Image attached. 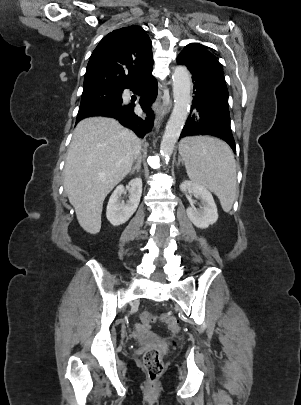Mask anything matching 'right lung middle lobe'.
Listing matches in <instances>:
<instances>
[{
  "mask_svg": "<svg viewBox=\"0 0 301 405\" xmlns=\"http://www.w3.org/2000/svg\"><path fill=\"white\" fill-rule=\"evenodd\" d=\"M122 102V91L112 88H92L83 90L79 112Z\"/></svg>",
  "mask_w": 301,
  "mask_h": 405,
  "instance_id": "obj_1",
  "label": "right lung middle lobe"
}]
</instances>
